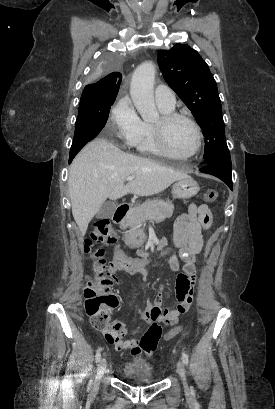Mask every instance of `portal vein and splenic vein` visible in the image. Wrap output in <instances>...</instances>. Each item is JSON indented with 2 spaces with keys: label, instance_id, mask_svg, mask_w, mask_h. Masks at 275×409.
<instances>
[{
  "label": "portal vein and splenic vein",
  "instance_id": "1",
  "mask_svg": "<svg viewBox=\"0 0 275 409\" xmlns=\"http://www.w3.org/2000/svg\"><path fill=\"white\" fill-rule=\"evenodd\" d=\"M134 176H127L126 180H133Z\"/></svg>",
  "mask_w": 275,
  "mask_h": 409
}]
</instances>
